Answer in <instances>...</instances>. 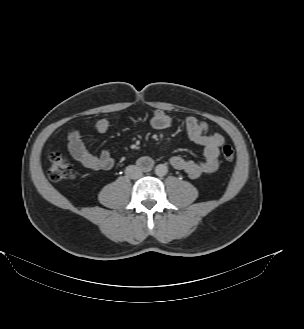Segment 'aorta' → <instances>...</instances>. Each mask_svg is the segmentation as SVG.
<instances>
[{"instance_id":"obj_1","label":"aorta","mask_w":304,"mask_h":329,"mask_svg":"<svg viewBox=\"0 0 304 329\" xmlns=\"http://www.w3.org/2000/svg\"><path fill=\"white\" fill-rule=\"evenodd\" d=\"M168 172V167L165 164H158L155 168V173L157 176H164Z\"/></svg>"}]
</instances>
